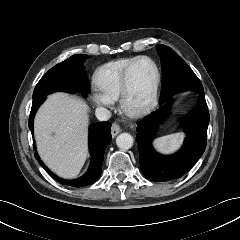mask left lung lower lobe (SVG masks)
<instances>
[{
    "label": "left lung lower lobe",
    "mask_w": 240,
    "mask_h": 240,
    "mask_svg": "<svg viewBox=\"0 0 240 240\" xmlns=\"http://www.w3.org/2000/svg\"><path fill=\"white\" fill-rule=\"evenodd\" d=\"M170 98L161 104V108L137 124L136 140L139 147L140 168L145 177L154 182H165L182 177L199 160L206 148L209 112L205 95L200 93L197 107L182 122L187 135L182 148L171 156L161 155L154 150L152 141L158 124L169 112Z\"/></svg>",
    "instance_id": "1"
}]
</instances>
